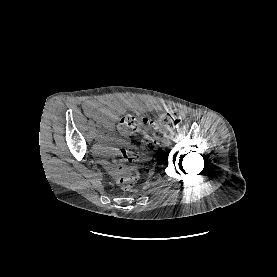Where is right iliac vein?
<instances>
[{"instance_id":"1","label":"right iliac vein","mask_w":277,"mask_h":277,"mask_svg":"<svg viewBox=\"0 0 277 277\" xmlns=\"http://www.w3.org/2000/svg\"><path fill=\"white\" fill-rule=\"evenodd\" d=\"M95 139L98 140L99 139V135H95Z\"/></svg>"}]
</instances>
